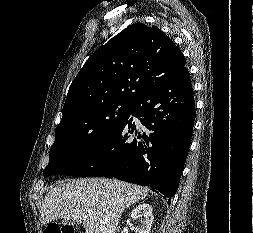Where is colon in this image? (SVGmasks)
I'll list each match as a JSON object with an SVG mask.
<instances>
[{
	"mask_svg": "<svg viewBox=\"0 0 253 233\" xmlns=\"http://www.w3.org/2000/svg\"><path fill=\"white\" fill-rule=\"evenodd\" d=\"M45 233H76V231L73 226L52 223L46 227Z\"/></svg>",
	"mask_w": 253,
	"mask_h": 233,
	"instance_id": "colon-1",
	"label": "colon"
}]
</instances>
